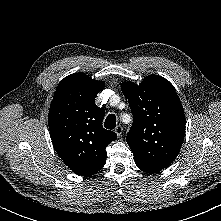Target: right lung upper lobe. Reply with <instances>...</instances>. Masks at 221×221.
I'll use <instances>...</instances> for the list:
<instances>
[{"label":"right lung upper lobe","mask_w":221,"mask_h":221,"mask_svg":"<svg viewBox=\"0 0 221 221\" xmlns=\"http://www.w3.org/2000/svg\"><path fill=\"white\" fill-rule=\"evenodd\" d=\"M104 82L74 73L58 85L48 125L54 148L72 172L89 177L106 162V147L117 138L102 127L105 110L95 104Z\"/></svg>","instance_id":"cb5924a9"}]
</instances>
